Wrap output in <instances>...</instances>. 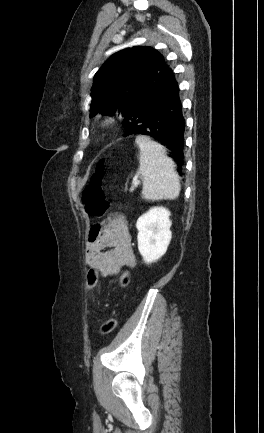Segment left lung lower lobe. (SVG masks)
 I'll use <instances>...</instances> for the list:
<instances>
[{
	"label": "left lung lower lobe",
	"mask_w": 264,
	"mask_h": 433,
	"mask_svg": "<svg viewBox=\"0 0 264 433\" xmlns=\"http://www.w3.org/2000/svg\"><path fill=\"white\" fill-rule=\"evenodd\" d=\"M123 127L125 136H149L167 147L182 174L185 120L171 68L166 66L138 95L124 116Z\"/></svg>",
	"instance_id": "left-lung-lower-lobe-1"
}]
</instances>
